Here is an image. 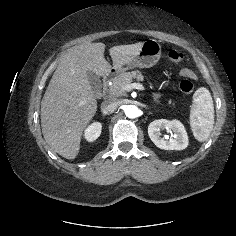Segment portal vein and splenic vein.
I'll return each mask as SVG.
<instances>
[{"instance_id": "portal-vein-and-splenic-vein-1", "label": "portal vein and splenic vein", "mask_w": 236, "mask_h": 236, "mask_svg": "<svg viewBox=\"0 0 236 236\" xmlns=\"http://www.w3.org/2000/svg\"><path fill=\"white\" fill-rule=\"evenodd\" d=\"M132 89L143 90L144 87L140 83H132V84H127L123 86L124 91H129Z\"/></svg>"}]
</instances>
